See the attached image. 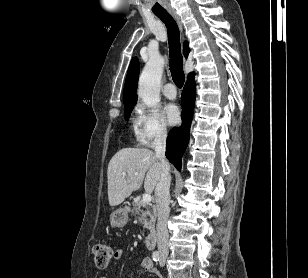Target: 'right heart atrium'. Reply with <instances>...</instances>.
Wrapping results in <instances>:
<instances>
[{
  "instance_id": "right-heart-atrium-1",
  "label": "right heart atrium",
  "mask_w": 308,
  "mask_h": 278,
  "mask_svg": "<svg viewBox=\"0 0 308 278\" xmlns=\"http://www.w3.org/2000/svg\"><path fill=\"white\" fill-rule=\"evenodd\" d=\"M134 131L137 141L144 146L165 139L168 132L163 116L157 110L142 105L136 108Z\"/></svg>"
}]
</instances>
